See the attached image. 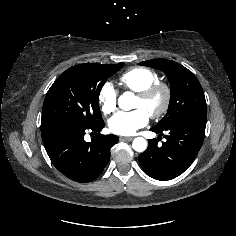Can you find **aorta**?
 I'll list each match as a JSON object with an SVG mask.
<instances>
[{
  "label": "aorta",
  "instance_id": "762f6f07",
  "mask_svg": "<svg viewBox=\"0 0 236 236\" xmlns=\"http://www.w3.org/2000/svg\"><path fill=\"white\" fill-rule=\"evenodd\" d=\"M130 99V93H125L119 97V106L124 107L125 102ZM147 141L143 137H137L132 142V147L137 152H144L147 149Z\"/></svg>",
  "mask_w": 236,
  "mask_h": 236
}]
</instances>
